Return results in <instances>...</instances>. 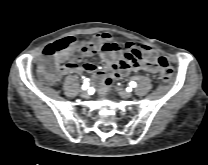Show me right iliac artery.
Masks as SVG:
<instances>
[{
  "instance_id": "82829eb1",
  "label": "right iliac artery",
  "mask_w": 208,
  "mask_h": 165,
  "mask_svg": "<svg viewBox=\"0 0 208 165\" xmlns=\"http://www.w3.org/2000/svg\"><path fill=\"white\" fill-rule=\"evenodd\" d=\"M88 86H89V83H88V81H86V82L82 85V89H83V90H86V89L88 88Z\"/></svg>"
}]
</instances>
